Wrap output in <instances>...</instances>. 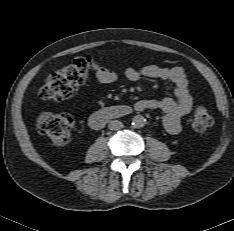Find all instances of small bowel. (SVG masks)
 Returning a JSON list of instances; mask_svg holds the SVG:
<instances>
[{"instance_id": "1", "label": "small bowel", "mask_w": 234, "mask_h": 231, "mask_svg": "<svg viewBox=\"0 0 234 231\" xmlns=\"http://www.w3.org/2000/svg\"><path fill=\"white\" fill-rule=\"evenodd\" d=\"M126 78L131 82H138L143 78L160 79L174 86L175 98L143 99L134 104L136 111L161 110L165 113L162 123L170 134H177L182 128L183 117L192 108V96L189 90L188 79L182 67H161L146 65L139 69L128 68ZM98 80L105 84H112L117 80V74L111 70L98 67L96 69Z\"/></svg>"}]
</instances>
